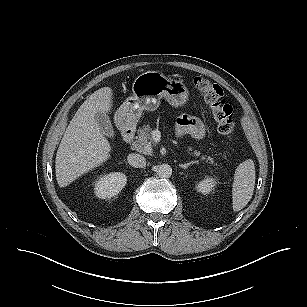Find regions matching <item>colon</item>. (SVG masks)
<instances>
[{"instance_id": "1", "label": "colon", "mask_w": 307, "mask_h": 307, "mask_svg": "<svg viewBox=\"0 0 307 307\" xmlns=\"http://www.w3.org/2000/svg\"><path fill=\"white\" fill-rule=\"evenodd\" d=\"M194 86L199 95L209 104L217 122L218 131L231 140L235 128L234 113L224 98L222 88L202 77L194 80Z\"/></svg>"}]
</instances>
